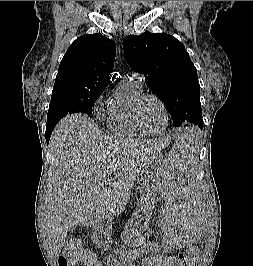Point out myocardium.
Returning a JSON list of instances; mask_svg holds the SVG:
<instances>
[{
	"instance_id": "f54148a6",
	"label": "myocardium",
	"mask_w": 253,
	"mask_h": 266,
	"mask_svg": "<svg viewBox=\"0 0 253 266\" xmlns=\"http://www.w3.org/2000/svg\"><path fill=\"white\" fill-rule=\"evenodd\" d=\"M149 98L156 100L160 104V106L162 107L163 112L165 114V119H166L165 126H164V128L161 131H158V132H153V131L147 130L143 126V124L141 122V119H140V107H141L143 101L146 100V99H149ZM131 113H132V119H133V122H134L135 126L144 135L161 136V135L165 134L166 131L169 128L170 117H169V112H168L167 106L163 102V100L159 96H157L156 94H153V93H142L138 97H136L135 100L133 101V104H132Z\"/></svg>"
}]
</instances>
